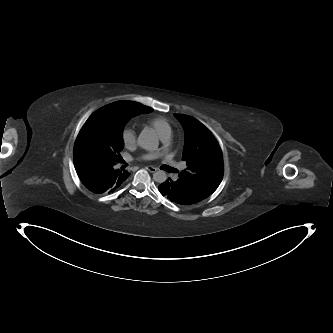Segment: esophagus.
I'll return each instance as SVG.
<instances>
[{
  "instance_id": "obj_1",
  "label": "esophagus",
  "mask_w": 333,
  "mask_h": 333,
  "mask_svg": "<svg viewBox=\"0 0 333 333\" xmlns=\"http://www.w3.org/2000/svg\"><path fill=\"white\" fill-rule=\"evenodd\" d=\"M146 169L151 172V173H154L157 171V168L153 167V166H147Z\"/></svg>"
}]
</instances>
